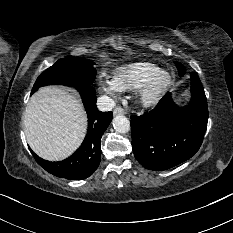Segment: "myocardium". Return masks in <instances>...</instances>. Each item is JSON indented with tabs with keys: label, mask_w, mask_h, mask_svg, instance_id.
<instances>
[{
	"label": "myocardium",
	"mask_w": 233,
	"mask_h": 233,
	"mask_svg": "<svg viewBox=\"0 0 233 233\" xmlns=\"http://www.w3.org/2000/svg\"><path fill=\"white\" fill-rule=\"evenodd\" d=\"M172 83V75L163 69L152 74L138 89V102L143 107L155 106Z\"/></svg>",
	"instance_id": "obj_1"
}]
</instances>
